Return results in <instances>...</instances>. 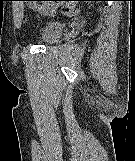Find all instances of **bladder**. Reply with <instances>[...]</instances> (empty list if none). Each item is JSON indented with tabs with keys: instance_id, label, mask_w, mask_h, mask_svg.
<instances>
[{
	"instance_id": "obj_1",
	"label": "bladder",
	"mask_w": 135,
	"mask_h": 161,
	"mask_svg": "<svg viewBox=\"0 0 135 161\" xmlns=\"http://www.w3.org/2000/svg\"><path fill=\"white\" fill-rule=\"evenodd\" d=\"M64 31L63 23L59 21H49L39 29L36 40L42 43H50L59 38Z\"/></svg>"
}]
</instances>
